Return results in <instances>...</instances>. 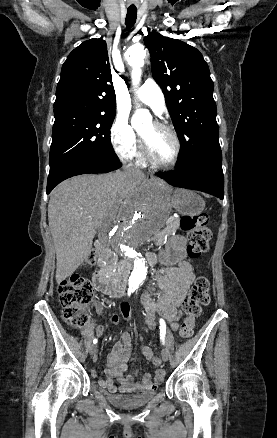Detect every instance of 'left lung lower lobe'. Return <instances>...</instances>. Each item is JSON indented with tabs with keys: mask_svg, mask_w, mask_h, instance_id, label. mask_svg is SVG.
I'll return each instance as SVG.
<instances>
[{
	"mask_svg": "<svg viewBox=\"0 0 277 438\" xmlns=\"http://www.w3.org/2000/svg\"><path fill=\"white\" fill-rule=\"evenodd\" d=\"M157 175L173 186L203 191L224 198L222 157H212L187 170L159 172Z\"/></svg>",
	"mask_w": 277,
	"mask_h": 438,
	"instance_id": "obj_1",
	"label": "left lung lower lobe"
}]
</instances>
